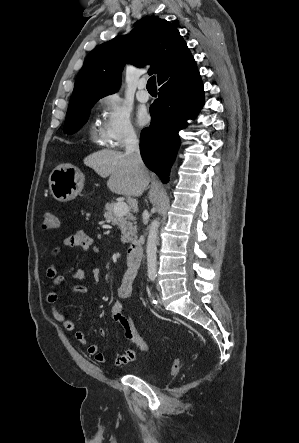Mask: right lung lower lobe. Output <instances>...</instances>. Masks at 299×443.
<instances>
[{"label":"right lung lower lobe","instance_id":"right-lung-lower-lobe-1","mask_svg":"<svg viewBox=\"0 0 299 443\" xmlns=\"http://www.w3.org/2000/svg\"><path fill=\"white\" fill-rule=\"evenodd\" d=\"M158 85L159 98L150 106L151 124L141 132L140 152L147 167L167 183L180 144L178 132L200 111L204 91L197 67Z\"/></svg>","mask_w":299,"mask_h":443}]
</instances>
